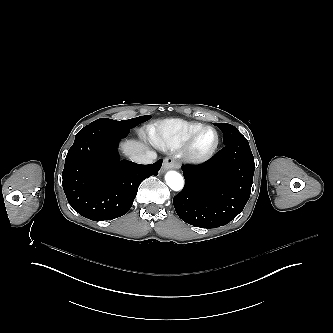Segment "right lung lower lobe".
<instances>
[{
	"label": "right lung lower lobe",
	"instance_id": "obj_1",
	"mask_svg": "<svg viewBox=\"0 0 333 333\" xmlns=\"http://www.w3.org/2000/svg\"><path fill=\"white\" fill-rule=\"evenodd\" d=\"M129 132L90 123L69 149L62 173L68 203L90 220H111L131 208L141 182L157 175L162 165L120 160L118 143Z\"/></svg>",
	"mask_w": 333,
	"mask_h": 333
}]
</instances>
